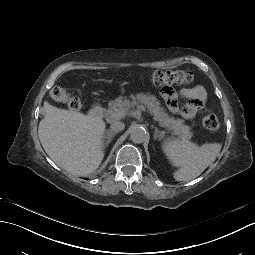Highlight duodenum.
I'll return each instance as SVG.
<instances>
[{
  "mask_svg": "<svg viewBox=\"0 0 255 255\" xmlns=\"http://www.w3.org/2000/svg\"><path fill=\"white\" fill-rule=\"evenodd\" d=\"M102 115H103V108L100 105H94L89 111V116L92 119H100Z\"/></svg>",
  "mask_w": 255,
  "mask_h": 255,
  "instance_id": "1",
  "label": "duodenum"
}]
</instances>
